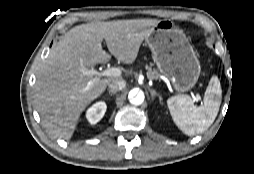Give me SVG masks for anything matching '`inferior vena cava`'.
<instances>
[{
    "label": "inferior vena cava",
    "instance_id": "602c4592",
    "mask_svg": "<svg viewBox=\"0 0 254 174\" xmlns=\"http://www.w3.org/2000/svg\"><path fill=\"white\" fill-rule=\"evenodd\" d=\"M125 86L126 82L124 80H114L108 85L109 89L115 92L124 89Z\"/></svg>",
    "mask_w": 254,
    "mask_h": 174
}]
</instances>
